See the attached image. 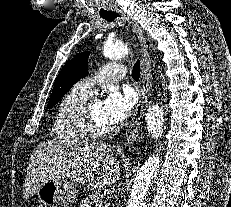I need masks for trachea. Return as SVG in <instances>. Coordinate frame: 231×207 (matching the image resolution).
<instances>
[{"label":"trachea","mask_w":231,"mask_h":207,"mask_svg":"<svg viewBox=\"0 0 231 207\" xmlns=\"http://www.w3.org/2000/svg\"><path fill=\"white\" fill-rule=\"evenodd\" d=\"M102 17L109 21L112 22L115 18L118 17V15L116 13H108L105 15H102ZM140 71H141V66H140V61L137 60L136 63L133 66V70H132V77L135 81H138L140 78Z\"/></svg>","instance_id":"trachea-1"}]
</instances>
